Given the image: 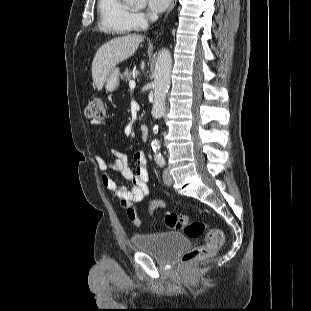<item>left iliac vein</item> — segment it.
<instances>
[{
  "instance_id": "1",
  "label": "left iliac vein",
  "mask_w": 311,
  "mask_h": 311,
  "mask_svg": "<svg viewBox=\"0 0 311 311\" xmlns=\"http://www.w3.org/2000/svg\"><path fill=\"white\" fill-rule=\"evenodd\" d=\"M163 181L165 185L170 186L172 184V177L169 172V169L165 168L163 171Z\"/></svg>"
}]
</instances>
